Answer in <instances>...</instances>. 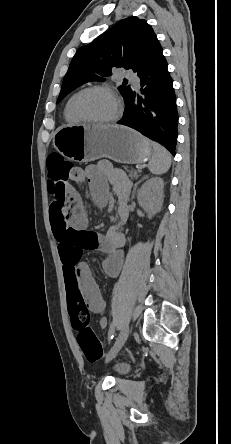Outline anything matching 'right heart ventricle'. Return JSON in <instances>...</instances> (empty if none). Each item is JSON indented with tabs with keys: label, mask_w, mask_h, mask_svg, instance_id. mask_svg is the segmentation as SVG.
<instances>
[{
	"label": "right heart ventricle",
	"mask_w": 231,
	"mask_h": 444,
	"mask_svg": "<svg viewBox=\"0 0 231 444\" xmlns=\"http://www.w3.org/2000/svg\"><path fill=\"white\" fill-rule=\"evenodd\" d=\"M80 91H77L75 93H73L67 100L65 107H64V118L66 120V122L70 123V124H78L81 121L77 118V116L75 115L74 111H73V105H74V101L76 96L78 95Z\"/></svg>",
	"instance_id": "obj_1"
}]
</instances>
